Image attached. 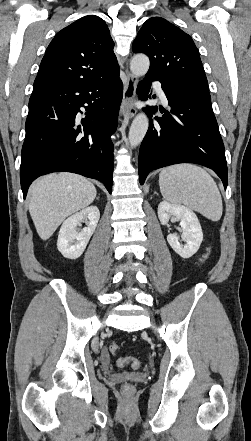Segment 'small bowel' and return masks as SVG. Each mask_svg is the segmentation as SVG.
<instances>
[{
    "instance_id": "small-bowel-1",
    "label": "small bowel",
    "mask_w": 251,
    "mask_h": 441,
    "mask_svg": "<svg viewBox=\"0 0 251 441\" xmlns=\"http://www.w3.org/2000/svg\"><path fill=\"white\" fill-rule=\"evenodd\" d=\"M102 359H103V361H108V354L106 353V352H103L102 353Z\"/></svg>"
}]
</instances>
